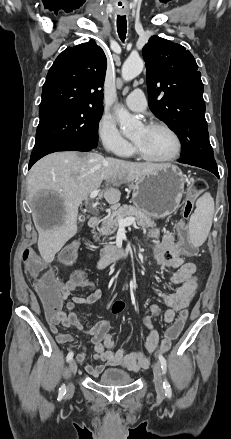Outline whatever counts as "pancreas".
Returning a JSON list of instances; mask_svg holds the SVG:
<instances>
[{
  "mask_svg": "<svg viewBox=\"0 0 231 439\" xmlns=\"http://www.w3.org/2000/svg\"><path fill=\"white\" fill-rule=\"evenodd\" d=\"M127 217H134L137 225L144 229L156 226L154 220H152L147 214L141 212L134 206L123 205L122 207L116 208L109 216L103 219L102 225L98 229L99 235L104 237L111 236L119 226L118 220ZM94 238L99 240L98 234H95ZM113 248L114 246L112 245L105 246V248L101 250L100 255H107Z\"/></svg>",
  "mask_w": 231,
  "mask_h": 439,
  "instance_id": "1",
  "label": "pancreas"
}]
</instances>
